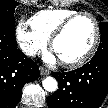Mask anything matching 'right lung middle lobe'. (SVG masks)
<instances>
[{"mask_svg": "<svg viewBox=\"0 0 108 108\" xmlns=\"http://www.w3.org/2000/svg\"><path fill=\"white\" fill-rule=\"evenodd\" d=\"M18 2L0 0V28L15 31L14 11Z\"/></svg>", "mask_w": 108, "mask_h": 108, "instance_id": "obj_1", "label": "right lung middle lobe"}]
</instances>
